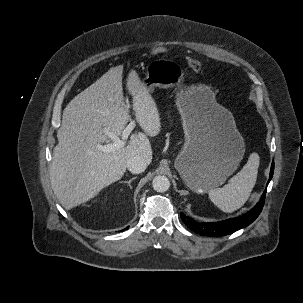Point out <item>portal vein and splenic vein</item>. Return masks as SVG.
<instances>
[{
	"label": "portal vein and splenic vein",
	"instance_id": "1",
	"mask_svg": "<svg viewBox=\"0 0 303 303\" xmlns=\"http://www.w3.org/2000/svg\"><path fill=\"white\" fill-rule=\"evenodd\" d=\"M135 126H136L135 121H131L128 124V126L123 130L121 139L116 137L113 134H109V136L113 140V142L110 144H106V145L98 144L97 145L98 150L105 152V153H110V152H115V151L119 150L120 148L124 147L126 140L128 139V136L130 135L131 131L135 128Z\"/></svg>",
	"mask_w": 303,
	"mask_h": 303
}]
</instances>
